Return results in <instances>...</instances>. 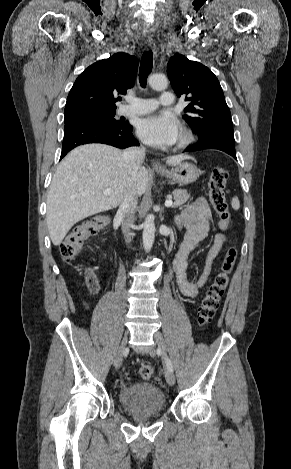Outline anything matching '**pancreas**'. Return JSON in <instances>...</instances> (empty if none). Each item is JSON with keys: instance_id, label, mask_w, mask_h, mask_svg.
Listing matches in <instances>:
<instances>
[{"instance_id": "cf45deb5", "label": "pancreas", "mask_w": 291, "mask_h": 469, "mask_svg": "<svg viewBox=\"0 0 291 469\" xmlns=\"http://www.w3.org/2000/svg\"><path fill=\"white\" fill-rule=\"evenodd\" d=\"M172 195L174 197V203L172 204V207L182 206L190 197V194L184 189H175L172 192Z\"/></svg>"}]
</instances>
